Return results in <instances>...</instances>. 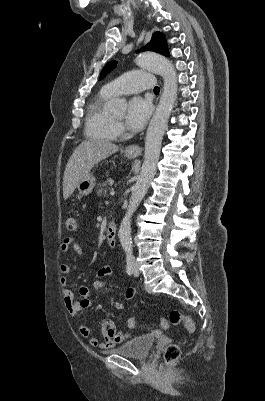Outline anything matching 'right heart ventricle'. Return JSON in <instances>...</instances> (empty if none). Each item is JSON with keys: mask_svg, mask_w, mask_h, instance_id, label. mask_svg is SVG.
Masks as SVG:
<instances>
[{"mask_svg": "<svg viewBox=\"0 0 265 401\" xmlns=\"http://www.w3.org/2000/svg\"><path fill=\"white\" fill-rule=\"evenodd\" d=\"M114 95L106 90V86L94 94L86 110V133L88 136L101 140H114L119 135L115 118L107 110L108 103Z\"/></svg>", "mask_w": 265, "mask_h": 401, "instance_id": "obj_1", "label": "right heart ventricle"}]
</instances>
